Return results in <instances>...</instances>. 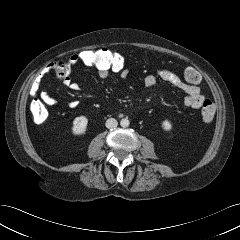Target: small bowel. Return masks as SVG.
<instances>
[{"label": "small bowel", "instance_id": "1", "mask_svg": "<svg viewBox=\"0 0 240 240\" xmlns=\"http://www.w3.org/2000/svg\"><path fill=\"white\" fill-rule=\"evenodd\" d=\"M77 60L75 55H70L66 58L58 59L54 61L49 67L57 73L58 81L64 86L70 88L73 91H79L80 87L77 82H75L71 77V71L74 66H76ZM112 71L106 68L97 67V74L100 79H106ZM121 78H127L129 75L128 69L118 72ZM157 75L165 82L178 88L185 93L184 105L189 108L198 109L203 106L205 100H207L199 86L185 83L176 73L169 69H159ZM157 83V77L155 75H147L144 78V84L146 87H153ZM39 85L34 84L31 89V95L36 96L38 94ZM41 99L49 106H54L57 104V100L50 94L48 90H42L40 92ZM78 106V101L73 100L69 102L70 108H75Z\"/></svg>", "mask_w": 240, "mask_h": 240}]
</instances>
